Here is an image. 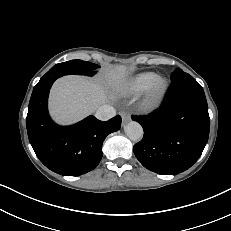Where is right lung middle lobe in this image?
I'll return each mask as SVG.
<instances>
[{
    "instance_id": "dd1d6c3e",
    "label": "right lung middle lobe",
    "mask_w": 231,
    "mask_h": 231,
    "mask_svg": "<svg viewBox=\"0 0 231 231\" xmlns=\"http://www.w3.org/2000/svg\"><path fill=\"white\" fill-rule=\"evenodd\" d=\"M99 68L98 65L91 62H86L82 60H71L63 63L56 64L52 67L38 83L45 82L52 78H59L63 75L68 74H79L92 76L96 73V69Z\"/></svg>"
}]
</instances>
